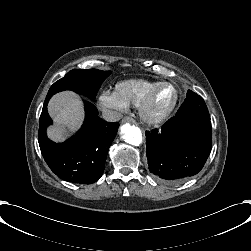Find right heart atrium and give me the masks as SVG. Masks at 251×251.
I'll return each instance as SVG.
<instances>
[{"label":"right heart atrium","instance_id":"d8ad5b80","mask_svg":"<svg viewBox=\"0 0 251 251\" xmlns=\"http://www.w3.org/2000/svg\"><path fill=\"white\" fill-rule=\"evenodd\" d=\"M99 108L111 117H116L119 113L126 112L128 105L119 99L115 92L102 91L97 97Z\"/></svg>","mask_w":251,"mask_h":251}]
</instances>
